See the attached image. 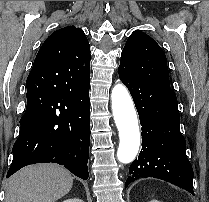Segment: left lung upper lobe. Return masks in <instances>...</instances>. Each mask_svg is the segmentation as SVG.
<instances>
[{
  "label": "left lung upper lobe",
  "instance_id": "left-lung-upper-lobe-1",
  "mask_svg": "<svg viewBox=\"0 0 209 202\" xmlns=\"http://www.w3.org/2000/svg\"><path fill=\"white\" fill-rule=\"evenodd\" d=\"M120 71L170 88L167 59L155 40L140 30L128 38L121 53Z\"/></svg>",
  "mask_w": 209,
  "mask_h": 202
}]
</instances>
